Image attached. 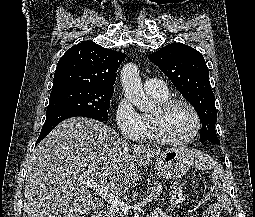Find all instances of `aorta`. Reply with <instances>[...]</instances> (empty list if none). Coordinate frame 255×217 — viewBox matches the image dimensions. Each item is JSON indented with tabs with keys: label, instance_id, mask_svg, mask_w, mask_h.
Returning <instances> with one entry per match:
<instances>
[{
	"label": "aorta",
	"instance_id": "aorta-1",
	"mask_svg": "<svg viewBox=\"0 0 255 217\" xmlns=\"http://www.w3.org/2000/svg\"><path fill=\"white\" fill-rule=\"evenodd\" d=\"M120 77L125 97L140 111L152 109V102L144 92L138 67L133 63L125 64Z\"/></svg>",
	"mask_w": 255,
	"mask_h": 217
}]
</instances>
